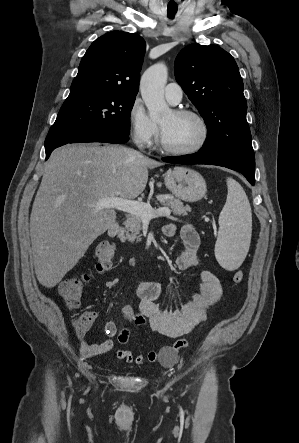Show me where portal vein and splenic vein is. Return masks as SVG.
<instances>
[{
  "label": "portal vein and splenic vein",
  "mask_w": 299,
  "mask_h": 443,
  "mask_svg": "<svg viewBox=\"0 0 299 443\" xmlns=\"http://www.w3.org/2000/svg\"><path fill=\"white\" fill-rule=\"evenodd\" d=\"M98 209H116L129 214L141 217L142 220H151L160 216H170L171 210L168 207L153 209L150 204L123 199L120 197L102 198L96 202Z\"/></svg>",
  "instance_id": "1"
}]
</instances>
